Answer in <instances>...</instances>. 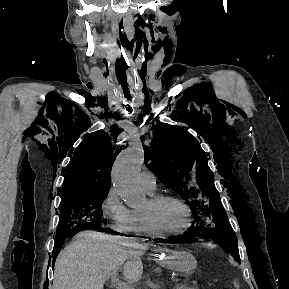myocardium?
<instances>
[{
  "label": "myocardium",
  "instance_id": "1",
  "mask_svg": "<svg viewBox=\"0 0 289 289\" xmlns=\"http://www.w3.org/2000/svg\"><path fill=\"white\" fill-rule=\"evenodd\" d=\"M165 201H174L184 208L187 214V218H188L187 224L179 231H171V232L163 231L155 225L150 213L145 212V211H139L147 231L150 234L154 236H158V237L179 236V235L186 233L192 225V212H191L190 207L183 199L172 194H156V195H151L148 198V202L152 206H157Z\"/></svg>",
  "mask_w": 289,
  "mask_h": 289
}]
</instances>
